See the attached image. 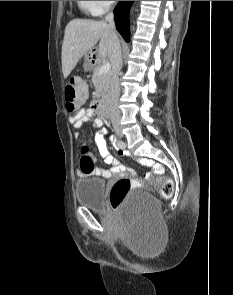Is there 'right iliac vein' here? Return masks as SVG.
I'll use <instances>...</instances> for the list:
<instances>
[{
	"mask_svg": "<svg viewBox=\"0 0 233 295\" xmlns=\"http://www.w3.org/2000/svg\"><path fill=\"white\" fill-rule=\"evenodd\" d=\"M114 131L118 136H122L121 128L118 125L114 127Z\"/></svg>",
	"mask_w": 233,
	"mask_h": 295,
	"instance_id": "right-iliac-vein-1",
	"label": "right iliac vein"
}]
</instances>
